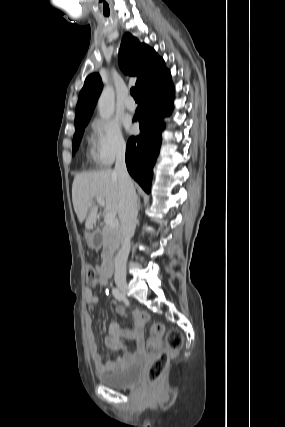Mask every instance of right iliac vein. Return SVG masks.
<instances>
[{
  "mask_svg": "<svg viewBox=\"0 0 285 427\" xmlns=\"http://www.w3.org/2000/svg\"><path fill=\"white\" fill-rule=\"evenodd\" d=\"M115 282L118 288L124 293L127 289V281L125 279L117 278Z\"/></svg>",
  "mask_w": 285,
  "mask_h": 427,
  "instance_id": "obj_1",
  "label": "right iliac vein"
}]
</instances>
